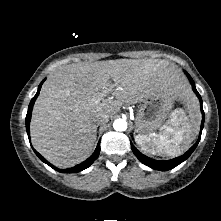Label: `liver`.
<instances>
[{"instance_id":"obj_1","label":"liver","mask_w":221,"mask_h":221,"mask_svg":"<svg viewBox=\"0 0 221 221\" xmlns=\"http://www.w3.org/2000/svg\"><path fill=\"white\" fill-rule=\"evenodd\" d=\"M167 87H174L181 99L187 96L177 70L165 60L117 59L60 67L48 76L35 102L32 144L53 165L72 167L92 153L97 114L112 116L122 104L142 102ZM105 89L113 91L116 100L103 99Z\"/></svg>"}]
</instances>
